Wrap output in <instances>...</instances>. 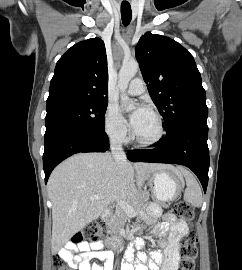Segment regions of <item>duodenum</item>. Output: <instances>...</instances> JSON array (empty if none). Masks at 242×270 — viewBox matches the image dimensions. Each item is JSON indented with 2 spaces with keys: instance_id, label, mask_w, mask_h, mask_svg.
Returning <instances> with one entry per match:
<instances>
[{
  "instance_id": "duodenum-1",
  "label": "duodenum",
  "mask_w": 242,
  "mask_h": 270,
  "mask_svg": "<svg viewBox=\"0 0 242 270\" xmlns=\"http://www.w3.org/2000/svg\"><path fill=\"white\" fill-rule=\"evenodd\" d=\"M110 215V210L106 209L103 213H102V219L103 220H107L108 217ZM125 239H128V237H125ZM124 238L121 237H113L112 239H110L108 241L109 246L113 249H118L121 247V245L123 244Z\"/></svg>"
}]
</instances>
